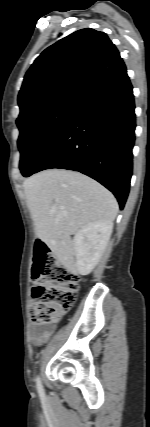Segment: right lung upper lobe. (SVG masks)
I'll return each mask as SVG.
<instances>
[{
	"mask_svg": "<svg viewBox=\"0 0 150 427\" xmlns=\"http://www.w3.org/2000/svg\"><path fill=\"white\" fill-rule=\"evenodd\" d=\"M125 73L117 48L104 32L76 31L44 50L27 71L18 95L19 117L43 106H79Z\"/></svg>",
	"mask_w": 150,
	"mask_h": 427,
	"instance_id": "obj_1",
	"label": "right lung upper lobe"
}]
</instances>
